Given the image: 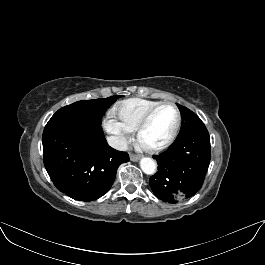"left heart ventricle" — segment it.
I'll return each instance as SVG.
<instances>
[{
  "label": "left heart ventricle",
  "instance_id": "1",
  "mask_svg": "<svg viewBox=\"0 0 265 265\" xmlns=\"http://www.w3.org/2000/svg\"><path fill=\"white\" fill-rule=\"evenodd\" d=\"M176 123V112L171 106L161 107L153 115L141 133V141L147 146L164 142L171 134Z\"/></svg>",
  "mask_w": 265,
  "mask_h": 265
}]
</instances>
